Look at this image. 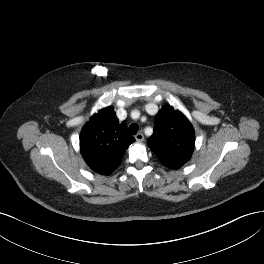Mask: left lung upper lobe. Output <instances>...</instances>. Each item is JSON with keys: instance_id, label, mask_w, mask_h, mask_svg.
Returning <instances> with one entry per match:
<instances>
[{"instance_id": "5c2ea615", "label": "left lung upper lobe", "mask_w": 264, "mask_h": 264, "mask_svg": "<svg viewBox=\"0 0 264 264\" xmlns=\"http://www.w3.org/2000/svg\"><path fill=\"white\" fill-rule=\"evenodd\" d=\"M195 134L188 119L171 106L156 115L154 132L148 139L150 149L169 169H179L187 163L194 150Z\"/></svg>"}]
</instances>
